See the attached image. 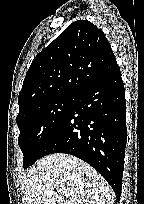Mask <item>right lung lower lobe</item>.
I'll return each mask as SVG.
<instances>
[{
    "instance_id": "right-lung-lower-lobe-1",
    "label": "right lung lower lobe",
    "mask_w": 144,
    "mask_h": 204,
    "mask_svg": "<svg viewBox=\"0 0 144 204\" xmlns=\"http://www.w3.org/2000/svg\"><path fill=\"white\" fill-rule=\"evenodd\" d=\"M125 89L119 66L76 94L68 115L41 157L74 155L93 166L120 199L127 141Z\"/></svg>"
}]
</instances>
